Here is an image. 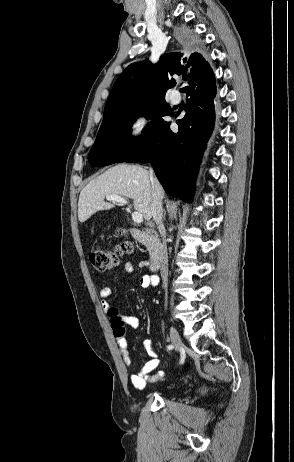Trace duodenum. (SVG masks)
Returning a JSON list of instances; mask_svg holds the SVG:
<instances>
[{"label":"duodenum","mask_w":294,"mask_h":462,"mask_svg":"<svg viewBox=\"0 0 294 462\" xmlns=\"http://www.w3.org/2000/svg\"><path fill=\"white\" fill-rule=\"evenodd\" d=\"M129 231L138 242L142 243L150 250V268L153 271L159 270L164 258V249L156 236L155 229L153 227H148L144 230L130 228Z\"/></svg>","instance_id":"duodenum-1"}]
</instances>
